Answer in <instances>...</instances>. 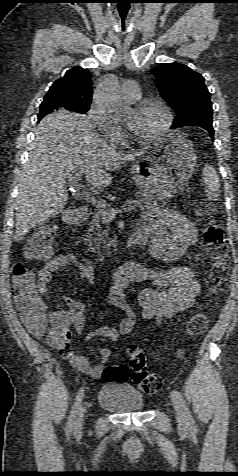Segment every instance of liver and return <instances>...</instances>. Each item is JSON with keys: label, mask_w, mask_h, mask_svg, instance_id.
<instances>
[{"label": "liver", "mask_w": 238, "mask_h": 476, "mask_svg": "<svg viewBox=\"0 0 238 476\" xmlns=\"http://www.w3.org/2000/svg\"><path fill=\"white\" fill-rule=\"evenodd\" d=\"M143 152H117L100 138L87 116L67 111L45 116L35 129L20 174L15 240L63 211L68 199L66 178L85 174L94 188L103 190L112 182L110 172Z\"/></svg>", "instance_id": "obj_1"}]
</instances>
